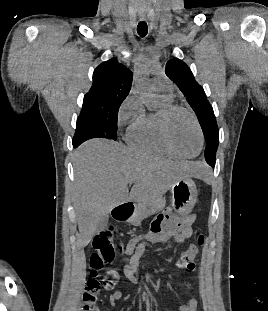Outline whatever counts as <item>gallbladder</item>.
<instances>
[{"mask_svg": "<svg viewBox=\"0 0 268 311\" xmlns=\"http://www.w3.org/2000/svg\"><path fill=\"white\" fill-rule=\"evenodd\" d=\"M106 225H107V218H105V219H103V220L101 221V228H105Z\"/></svg>", "mask_w": 268, "mask_h": 311, "instance_id": "obj_1", "label": "gallbladder"}]
</instances>
